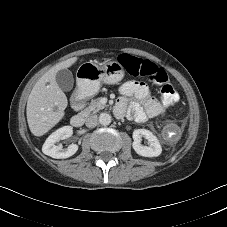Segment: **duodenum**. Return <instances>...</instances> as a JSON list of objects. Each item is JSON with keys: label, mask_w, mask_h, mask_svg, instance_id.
I'll return each mask as SVG.
<instances>
[{"label": "duodenum", "mask_w": 227, "mask_h": 227, "mask_svg": "<svg viewBox=\"0 0 227 227\" xmlns=\"http://www.w3.org/2000/svg\"><path fill=\"white\" fill-rule=\"evenodd\" d=\"M86 84H87L86 82L79 83L76 91L72 96L71 105L75 110H81L85 105L84 92L86 89ZM84 120H85L84 114L78 112L71 117L70 122L73 127L79 128L83 126Z\"/></svg>", "instance_id": "obj_1"}]
</instances>
